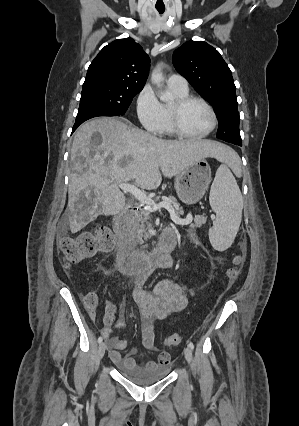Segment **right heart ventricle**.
Masks as SVG:
<instances>
[{"label":"right heart ventricle","instance_id":"obj_1","mask_svg":"<svg viewBox=\"0 0 299 426\" xmlns=\"http://www.w3.org/2000/svg\"><path fill=\"white\" fill-rule=\"evenodd\" d=\"M171 90L174 93V95L176 96V98H180V97L188 95V90L180 91V90H177V89H174V88H171ZM162 108H163V115H164V125H163V131L162 132L169 134V135H172L174 133V131H173L172 124H171V115H170L171 104H163Z\"/></svg>","mask_w":299,"mask_h":426}]
</instances>
